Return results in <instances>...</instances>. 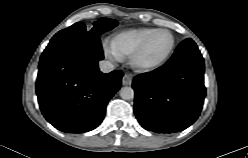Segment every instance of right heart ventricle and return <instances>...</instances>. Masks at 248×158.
<instances>
[{
    "mask_svg": "<svg viewBox=\"0 0 248 158\" xmlns=\"http://www.w3.org/2000/svg\"><path fill=\"white\" fill-rule=\"evenodd\" d=\"M154 28H134L116 33L111 45L121 57H130Z\"/></svg>",
    "mask_w": 248,
    "mask_h": 158,
    "instance_id": "e07e8e85",
    "label": "right heart ventricle"
}]
</instances>
